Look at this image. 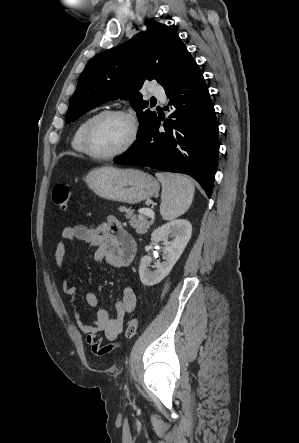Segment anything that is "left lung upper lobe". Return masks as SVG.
<instances>
[{
  "label": "left lung upper lobe",
  "mask_w": 299,
  "mask_h": 443,
  "mask_svg": "<svg viewBox=\"0 0 299 443\" xmlns=\"http://www.w3.org/2000/svg\"><path fill=\"white\" fill-rule=\"evenodd\" d=\"M195 63L174 30L152 23L145 32L88 62L70 99L65 122L69 124L92 108L121 98L129 100L137 112L139 136L157 116L145 110L148 102L138 91L144 81L155 79L165 89Z\"/></svg>",
  "instance_id": "obj_1"
}]
</instances>
